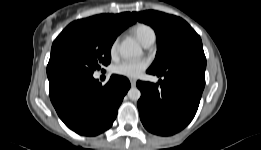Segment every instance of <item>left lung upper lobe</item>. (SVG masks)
<instances>
[{"mask_svg":"<svg viewBox=\"0 0 261 150\" xmlns=\"http://www.w3.org/2000/svg\"><path fill=\"white\" fill-rule=\"evenodd\" d=\"M133 15L139 22L150 25L157 36L156 58L150 70L163 71L185 54H204L200 36L182 18L154 10L133 12Z\"/></svg>","mask_w":261,"mask_h":150,"instance_id":"5c2ea615","label":"left lung upper lobe"}]
</instances>
